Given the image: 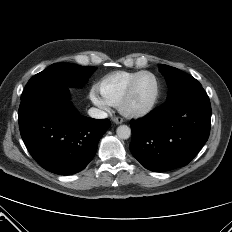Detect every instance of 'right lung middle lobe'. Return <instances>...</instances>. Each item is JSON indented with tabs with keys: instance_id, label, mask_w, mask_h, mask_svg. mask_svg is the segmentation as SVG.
<instances>
[{
	"instance_id": "right-lung-middle-lobe-1",
	"label": "right lung middle lobe",
	"mask_w": 232,
	"mask_h": 232,
	"mask_svg": "<svg viewBox=\"0 0 232 232\" xmlns=\"http://www.w3.org/2000/svg\"><path fill=\"white\" fill-rule=\"evenodd\" d=\"M94 70L93 66L55 63L29 80L22 97L44 88L83 86Z\"/></svg>"
}]
</instances>
